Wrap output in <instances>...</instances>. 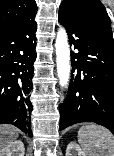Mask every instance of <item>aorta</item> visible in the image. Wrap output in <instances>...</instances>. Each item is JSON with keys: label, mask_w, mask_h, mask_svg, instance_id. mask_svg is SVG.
Instances as JSON below:
<instances>
[{"label": "aorta", "mask_w": 114, "mask_h": 156, "mask_svg": "<svg viewBox=\"0 0 114 156\" xmlns=\"http://www.w3.org/2000/svg\"><path fill=\"white\" fill-rule=\"evenodd\" d=\"M55 48L59 82L62 87H65L70 77V49L67 33L63 28H60L57 33Z\"/></svg>", "instance_id": "1"}]
</instances>
